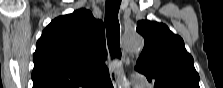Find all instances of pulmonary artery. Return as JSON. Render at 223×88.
Masks as SVG:
<instances>
[{"instance_id":"e3ab8cb5","label":"pulmonary artery","mask_w":223,"mask_h":88,"mask_svg":"<svg viewBox=\"0 0 223 88\" xmlns=\"http://www.w3.org/2000/svg\"><path fill=\"white\" fill-rule=\"evenodd\" d=\"M132 83L136 86V87H143L145 84V78L142 74L139 73H134L132 75Z\"/></svg>"}]
</instances>
